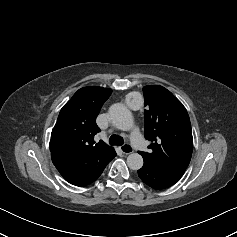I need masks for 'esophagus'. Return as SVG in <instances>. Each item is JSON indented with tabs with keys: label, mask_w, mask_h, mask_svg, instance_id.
Here are the masks:
<instances>
[{
	"label": "esophagus",
	"mask_w": 237,
	"mask_h": 237,
	"mask_svg": "<svg viewBox=\"0 0 237 237\" xmlns=\"http://www.w3.org/2000/svg\"><path fill=\"white\" fill-rule=\"evenodd\" d=\"M120 150L123 154H126V155L131 154L133 152V148L128 144L122 145L120 147Z\"/></svg>",
	"instance_id": "esophagus-1"
}]
</instances>
